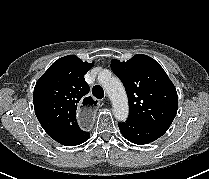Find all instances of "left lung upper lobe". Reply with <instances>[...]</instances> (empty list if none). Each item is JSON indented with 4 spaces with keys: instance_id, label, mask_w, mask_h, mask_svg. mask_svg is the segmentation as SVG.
I'll use <instances>...</instances> for the list:
<instances>
[{
    "instance_id": "obj_1",
    "label": "left lung upper lobe",
    "mask_w": 209,
    "mask_h": 179,
    "mask_svg": "<svg viewBox=\"0 0 209 179\" xmlns=\"http://www.w3.org/2000/svg\"><path fill=\"white\" fill-rule=\"evenodd\" d=\"M111 69L125 86L129 117L167 131L178 109L176 88L153 58L137 54L127 62L111 61Z\"/></svg>"
}]
</instances>
